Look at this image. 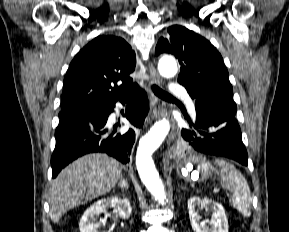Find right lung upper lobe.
<instances>
[{
	"label": "right lung upper lobe",
	"instance_id": "obj_1",
	"mask_svg": "<svg viewBox=\"0 0 289 232\" xmlns=\"http://www.w3.org/2000/svg\"><path fill=\"white\" fill-rule=\"evenodd\" d=\"M136 58L131 46L121 37L98 36L71 62L64 78L62 111L99 108L128 99L136 84L129 74ZM122 82V85H117Z\"/></svg>",
	"mask_w": 289,
	"mask_h": 232
}]
</instances>
